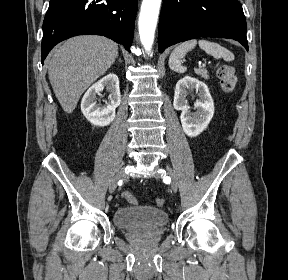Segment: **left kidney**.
Masks as SVG:
<instances>
[{
	"mask_svg": "<svg viewBox=\"0 0 288 280\" xmlns=\"http://www.w3.org/2000/svg\"><path fill=\"white\" fill-rule=\"evenodd\" d=\"M194 89L199 96V100L194 104L196 112L191 113L186 97ZM173 106L176 110L181 111L182 128L189 137H196L203 132L214 114V102L207 85L190 76H186L177 82Z\"/></svg>",
	"mask_w": 288,
	"mask_h": 280,
	"instance_id": "left-kidney-1",
	"label": "left kidney"
}]
</instances>
